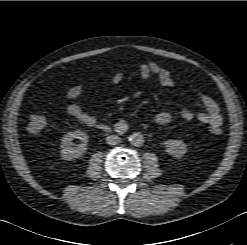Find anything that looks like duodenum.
I'll return each instance as SVG.
<instances>
[{"mask_svg":"<svg viewBox=\"0 0 247 245\" xmlns=\"http://www.w3.org/2000/svg\"><path fill=\"white\" fill-rule=\"evenodd\" d=\"M102 130H107L108 129V127L107 126H102V128H101Z\"/></svg>","mask_w":247,"mask_h":245,"instance_id":"410a0bca","label":"duodenum"}]
</instances>
